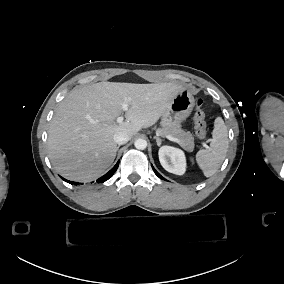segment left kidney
Instances as JSON below:
<instances>
[{
	"instance_id": "obj_1",
	"label": "left kidney",
	"mask_w": 284,
	"mask_h": 284,
	"mask_svg": "<svg viewBox=\"0 0 284 284\" xmlns=\"http://www.w3.org/2000/svg\"><path fill=\"white\" fill-rule=\"evenodd\" d=\"M159 161L162 167L173 174L183 175L186 171V158L181 149L162 146L159 149Z\"/></svg>"
}]
</instances>
